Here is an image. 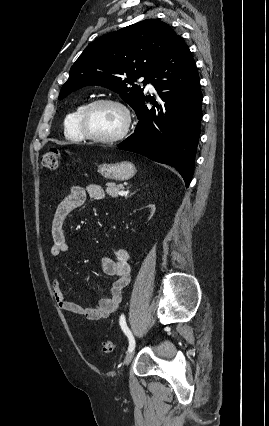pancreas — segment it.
Returning <instances> with one entry per match:
<instances>
[{
	"instance_id": "obj_1",
	"label": "pancreas",
	"mask_w": 269,
	"mask_h": 426,
	"mask_svg": "<svg viewBox=\"0 0 269 426\" xmlns=\"http://www.w3.org/2000/svg\"><path fill=\"white\" fill-rule=\"evenodd\" d=\"M124 187L122 184H114V183H108L107 184V188H106V193L113 197L116 198L119 195L120 190H122Z\"/></svg>"
}]
</instances>
